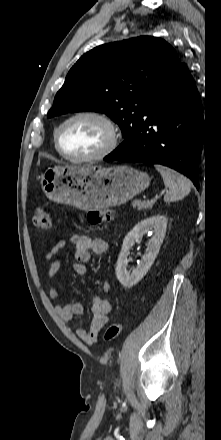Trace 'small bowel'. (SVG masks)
Listing matches in <instances>:
<instances>
[{
    "mask_svg": "<svg viewBox=\"0 0 221 440\" xmlns=\"http://www.w3.org/2000/svg\"><path fill=\"white\" fill-rule=\"evenodd\" d=\"M68 244L73 245L75 248L73 269L75 273L80 276H84L88 273L87 264L91 259V252L99 255L103 254L107 249V243L103 239H93L85 235H72L67 239L59 240L45 255V261L49 263L48 275L52 282L56 281L60 268V261L57 254ZM104 289L108 291L109 285L107 283L104 285ZM48 294L51 299H58L59 290L56 287H51ZM111 311L112 305L107 298L95 296L91 302L92 319L89 329L79 328L77 330V336L88 345L95 344L100 331L109 322ZM55 312L63 321L69 322L73 317L83 314V307L79 302L73 300L66 305H57Z\"/></svg>",
    "mask_w": 221,
    "mask_h": 440,
    "instance_id": "small-bowel-1",
    "label": "small bowel"
}]
</instances>
